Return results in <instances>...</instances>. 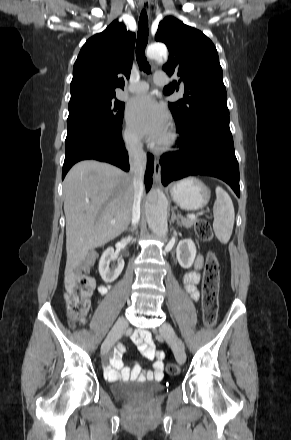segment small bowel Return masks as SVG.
Returning a JSON list of instances; mask_svg holds the SVG:
<instances>
[{
    "mask_svg": "<svg viewBox=\"0 0 291 440\" xmlns=\"http://www.w3.org/2000/svg\"><path fill=\"white\" fill-rule=\"evenodd\" d=\"M203 259L201 255H197L195 261V269L188 272L183 279L186 291L194 300L200 297L197 285L200 281L199 270L202 268ZM98 292L101 295L107 293V288L104 286L98 287ZM84 322V319L80 320ZM133 341L139 346L144 358L148 361H153V371H141L138 365L134 367H125L121 360V353H115L109 359V365L105 369V375L108 379H115L122 377L124 379L137 380L140 382L151 381L162 376L164 370V362L162 353H155V346L147 331H137L132 335ZM120 351H123L121 348Z\"/></svg>",
    "mask_w": 291,
    "mask_h": 440,
    "instance_id": "small-bowel-1",
    "label": "small bowel"
}]
</instances>
